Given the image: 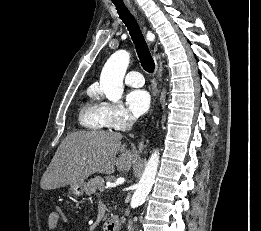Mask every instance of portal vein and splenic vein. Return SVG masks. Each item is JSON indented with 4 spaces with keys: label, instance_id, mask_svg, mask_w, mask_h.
Listing matches in <instances>:
<instances>
[{
    "label": "portal vein and splenic vein",
    "instance_id": "obj_1",
    "mask_svg": "<svg viewBox=\"0 0 261 231\" xmlns=\"http://www.w3.org/2000/svg\"><path fill=\"white\" fill-rule=\"evenodd\" d=\"M99 190H100V191H104V190H105V188H100Z\"/></svg>",
    "mask_w": 261,
    "mask_h": 231
}]
</instances>
